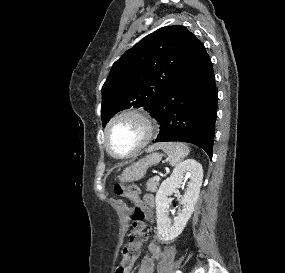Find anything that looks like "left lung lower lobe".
I'll list each match as a JSON object with an SVG mask.
<instances>
[{
  "label": "left lung lower lobe",
  "mask_w": 285,
  "mask_h": 273,
  "mask_svg": "<svg viewBox=\"0 0 285 273\" xmlns=\"http://www.w3.org/2000/svg\"><path fill=\"white\" fill-rule=\"evenodd\" d=\"M217 101L210 57L193 35L178 75L152 113L161 129L155 142L193 143L211 159Z\"/></svg>",
  "instance_id": "0a47b994"
}]
</instances>
